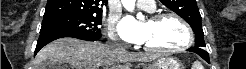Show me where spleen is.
Instances as JSON below:
<instances>
[{"mask_svg": "<svg viewBox=\"0 0 246 69\" xmlns=\"http://www.w3.org/2000/svg\"><path fill=\"white\" fill-rule=\"evenodd\" d=\"M192 69H204L203 65L199 61H195L192 65Z\"/></svg>", "mask_w": 246, "mask_h": 69, "instance_id": "3e777b00", "label": "spleen"}]
</instances>
